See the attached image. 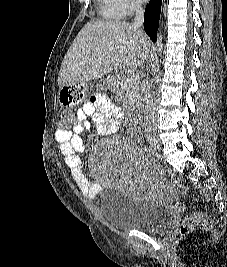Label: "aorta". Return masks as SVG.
Instances as JSON below:
<instances>
[{"mask_svg": "<svg viewBox=\"0 0 227 267\" xmlns=\"http://www.w3.org/2000/svg\"><path fill=\"white\" fill-rule=\"evenodd\" d=\"M162 40H163L162 34H161V32H159L157 34V42H156V50H157L158 54H161L162 49H163ZM156 61L157 62L159 61L158 58H157V56H156Z\"/></svg>", "mask_w": 227, "mask_h": 267, "instance_id": "aorta-1", "label": "aorta"}]
</instances>
